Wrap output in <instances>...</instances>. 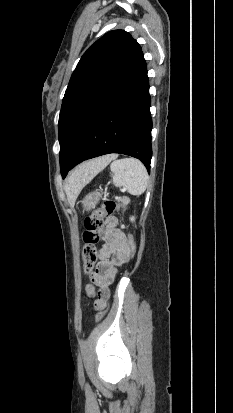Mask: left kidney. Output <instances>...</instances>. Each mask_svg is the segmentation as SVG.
I'll return each mask as SVG.
<instances>
[{
    "mask_svg": "<svg viewBox=\"0 0 233 413\" xmlns=\"http://www.w3.org/2000/svg\"><path fill=\"white\" fill-rule=\"evenodd\" d=\"M134 220H135V218L132 216V217L130 218V221L133 222Z\"/></svg>",
    "mask_w": 233,
    "mask_h": 413,
    "instance_id": "5707ae66",
    "label": "left kidney"
}]
</instances>
